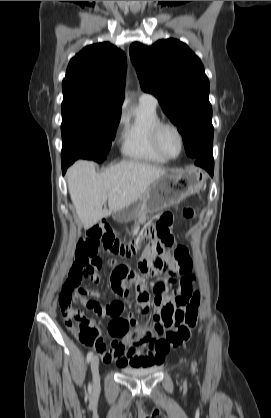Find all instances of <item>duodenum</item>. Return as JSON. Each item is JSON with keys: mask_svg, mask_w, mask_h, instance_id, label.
Instances as JSON below:
<instances>
[{"mask_svg": "<svg viewBox=\"0 0 271 418\" xmlns=\"http://www.w3.org/2000/svg\"><path fill=\"white\" fill-rule=\"evenodd\" d=\"M115 217H116V219H118V220H122V219H123V217H124V214H123L122 212H118V213L115 215Z\"/></svg>", "mask_w": 271, "mask_h": 418, "instance_id": "410a0bca", "label": "duodenum"}]
</instances>
